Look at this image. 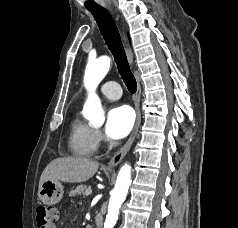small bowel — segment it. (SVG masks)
<instances>
[{"instance_id": "small-bowel-1", "label": "small bowel", "mask_w": 238, "mask_h": 228, "mask_svg": "<svg viewBox=\"0 0 238 228\" xmlns=\"http://www.w3.org/2000/svg\"><path fill=\"white\" fill-rule=\"evenodd\" d=\"M51 228H56L55 224H53V225L51 226Z\"/></svg>"}]
</instances>
